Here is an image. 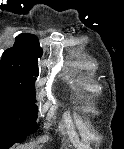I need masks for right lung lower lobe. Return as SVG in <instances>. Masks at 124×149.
Here are the masks:
<instances>
[{
	"label": "right lung lower lobe",
	"mask_w": 124,
	"mask_h": 149,
	"mask_svg": "<svg viewBox=\"0 0 124 149\" xmlns=\"http://www.w3.org/2000/svg\"><path fill=\"white\" fill-rule=\"evenodd\" d=\"M14 143L13 142H0V149H8L11 147Z\"/></svg>",
	"instance_id": "98d812e1"
}]
</instances>
